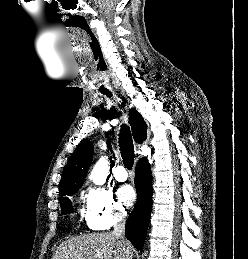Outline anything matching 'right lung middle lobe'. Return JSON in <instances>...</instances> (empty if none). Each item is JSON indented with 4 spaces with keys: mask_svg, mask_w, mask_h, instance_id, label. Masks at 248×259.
I'll use <instances>...</instances> for the list:
<instances>
[{
    "mask_svg": "<svg viewBox=\"0 0 248 259\" xmlns=\"http://www.w3.org/2000/svg\"><path fill=\"white\" fill-rule=\"evenodd\" d=\"M77 191H78V189L69 190V191L64 193V196L60 197V206H61V210H62V214L63 215L72 212L71 201L65 195L71 196V195L75 194Z\"/></svg>",
    "mask_w": 248,
    "mask_h": 259,
    "instance_id": "obj_1",
    "label": "right lung middle lobe"
}]
</instances>
